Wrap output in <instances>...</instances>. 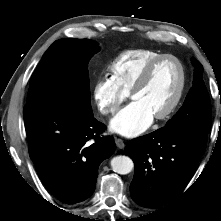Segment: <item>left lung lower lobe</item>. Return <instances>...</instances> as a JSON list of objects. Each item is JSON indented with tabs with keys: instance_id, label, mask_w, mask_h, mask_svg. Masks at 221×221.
Masks as SVG:
<instances>
[{
	"instance_id": "1",
	"label": "left lung lower lobe",
	"mask_w": 221,
	"mask_h": 221,
	"mask_svg": "<svg viewBox=\"0 0 221 221\" xmlns=\"http://www.w3.org/2000/svg\"><path fill=\"white\" fill-rule=\"evenodd\" d=\"M208 133L158 129L127 144L135 163L132 199L143 207H161L186 188L204 154Z\"/></svg>"
}]
</instances>
